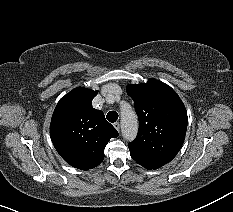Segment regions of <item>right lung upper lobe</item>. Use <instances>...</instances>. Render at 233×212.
<instances>
[{"label":"right lung upper lobe","instance_id":"obj_1","mask_svg":"<svg viewBox=\"0 0 233 212\" xmlns=\"http://www.w3.org/2000/svg\"><path fill=\"white\" fill-rule=\"evenodd\" d=\"M97 91L78 87L58 102L50 124L53 145L71 166L89 170L104 159V148L117 130L92 107Z\"/></svg>","mask_w":233,"mask_h":212}]
</instances>
